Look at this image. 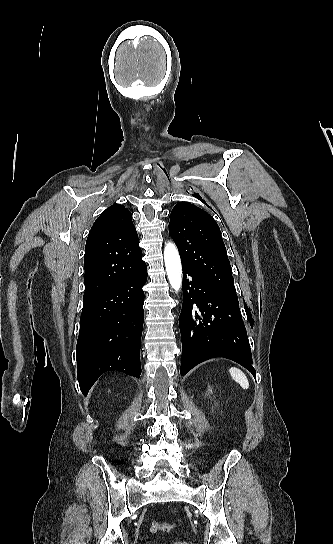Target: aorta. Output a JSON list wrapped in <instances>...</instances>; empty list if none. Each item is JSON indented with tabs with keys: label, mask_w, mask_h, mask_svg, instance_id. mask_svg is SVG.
I'll return each mask as SVG.
<instances>
[{
	"label": "aorta",
	"mask_w": 333,
	"mask_h": 544,
	"mask_svg": "<svg viewBox=\"0 0 333 544\" xmlns=\"http://www.w3.org/2000/svg\"><path fill=\"white\" fill-rule=\"evenodd\" d=\"M164 262L170 285L177 292L182 283V267L179 253L172 243L166 244L164 248Z\"/></svg>",
	"instance_id": "762f6f07"
}]
</instances>
